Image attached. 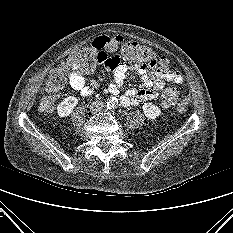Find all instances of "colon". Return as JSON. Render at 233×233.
<instances>
[{"mask_svg":"<svg viewBox=\"0 0 233 233\" xmlns=\"http://www.w3.org/2000/svg\"><path fill=\"white\" fill-rule=\"evenodd\" d=\"M119 54L127 63L132 65H145L151 68H168V60L160 57L147 46L135 41L117 40L115 38L102 39L100 44L81 48L70 56L67 62L51 70L45 82L50 92L63 88L67 75L71 70L91 71L111 54ZM179 92L175 88H168L161 95L163 108H170L177 103ZM56 97L44 96L40 101V108L45 113L54 110Z\"/></svg>","mask_w":233,"mask_h":233,"instance_id":"colon-1","label":"colon"}]
</instances>
